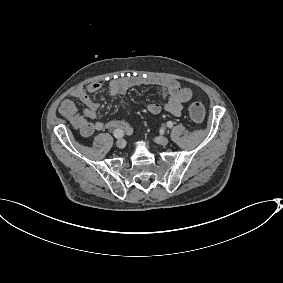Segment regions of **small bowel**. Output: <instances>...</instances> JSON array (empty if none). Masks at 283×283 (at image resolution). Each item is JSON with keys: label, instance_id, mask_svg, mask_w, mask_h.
<instances>
[{"label": "small bowel", "instance_id": "small-bowel-1", "mask_svg": "<svg viewBox=\"0 0 283 283\" xmlns=\"http://www.w3.org/2000/svg\"><path fill=\"white\" fill-rule=\"evenodd\" d=\"M153 85L158 86L166 99L164 105L158 103H149L147 110L151 114H159L163 110L174 115L180 116L183 104L192 98V90L183 87L174 79H164L150 76L125 75L110 81L108 93L111 96L123 95L132 87ZM102 88V83L95 81L83 87L80 86L72 92V96L78 99L84 109L80 113L73 100L65 99L59 107L60 114L69 121V123L80 132L85 138L92 137L96 132L103 130H122L127 135L133 133L130 124L122 120H110L103 122L97 120L99 103L89 97L90 94L96 93ZM93 119L95 122H90Z\"/></svg>", "mask_w": 283, "mask_h": 283}]
</instances>
